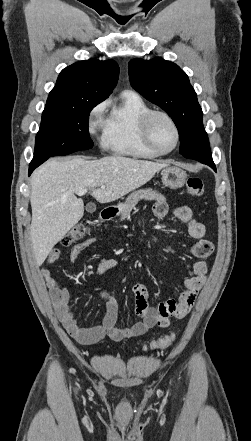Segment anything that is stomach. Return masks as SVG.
<instances>
[{
	"label": "stomach",
	"mask_w": 251,
	"mask_h": 441,
	"mask_svg": "<svg viewBox=\"0 0 251 441\" xmlns=\"http://www.w3.org/2000/svg\"><path fill=\"white\" fill-rule=\"evenodd\" d=\"M162 183L171 189H178L184 186L187 174L184 170L176 166H167L161 172ZM122 204L120 208H122Z\"/></svg>",
	"instance_id": "1"
}]
</instances>
